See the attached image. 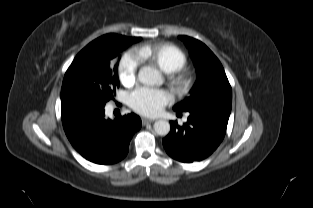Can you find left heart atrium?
Masks as SVG:
<instances>
[{
	"label": "left heart atrium",
	"instance_id": "39dd6f15",
	"mask_svg": "<svg viewBox=\"0 0 313 208\" xmlns=\"http://www.w3.org/2000/svg\"><path fill=\"white\" fill-rule=\"evenodd\" d=\"M170 102L169 94L160 89L140 87L129 96L130 106L138 113L156 116Z\"/></svg>",
	"mask_w": 313,
	"mask_h": 208
}]
</instances>
